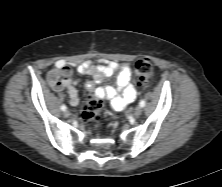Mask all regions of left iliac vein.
<instances>
[{
	"instance_id": "left-iliac-vein-1",
	"label": "left iliac vein",
	"mask_w": 222,
	"mask_h": 187,
	"mask_svg": "<svg viewBox=\"0 0 222 187\" xmlns=\"http://www.w3.org/2000/svg\"><path fill=\"white\" fill-rule=\"evenodd\" d=\"M142 111H143V110H142V107H141V106H138V107L135 109V112H134L135 117L141 116Z\"/></svg>"
}]
</instances>
